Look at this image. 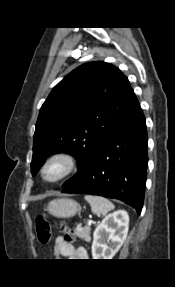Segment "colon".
Masks as SVG:
<instances>
[{
  "instance_id": "1",
  "label": "colon",
  "mask_w": 175,
  "mask_h": 287,
  "mask_svg": "<svg viewBox=\"0 0 175 287\" xmlns=\"http://www.w3.org/2000/svg\"><path fill=\"white\" fill-rule=\"evenodd\" d=\"M60 231L63 233L64 240L67 243L70 244L74 241V234L65 223L60 225ZM36 235L41 244H48L51 241L52 226L45 213H40L36 218Z\"/></svg>"
}]
</instances>
